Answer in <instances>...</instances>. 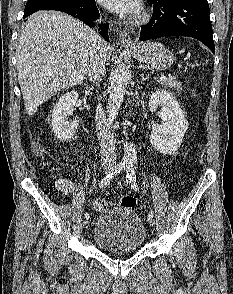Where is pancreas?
Wrapping results in <instances>:
<instances>
[{"label": "pancreas", "mask_w": 233, "mask_h": 294, "mask_svg": "<svg viewBox=\"0 0 233 294\" xmlns=\"http://www.w3.org/2000/svg\"><path fill=\"white\" fill-rule=\"evenodd\" d=\"M162 85H165L166 87H170L173 90L182 91V85L180 82L174 80V79H167L166 81H162Z\"/></svg>", "instance_id": "pancreas-1"}]
</instances>
